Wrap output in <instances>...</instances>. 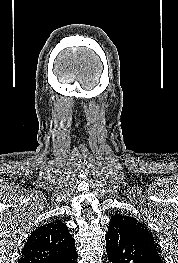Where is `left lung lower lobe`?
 Masks as SVG:
<instances>
[{
  "mask_svg": "<svg viewBox=\"0 0 178 263\" xmlns=\"http://www.w3.org/2000/svg\"><path fill=\"white\" fill-rule=\"evenodd\" d=\"M106 252L113 263H162L152 233L120 216L109 222Z\"/></svg>",
  "mask_w": 178,
  "mask_h": 263,
  "instance_id": "1",
  "label": "left lung lower lobe"
}]
</instances>
